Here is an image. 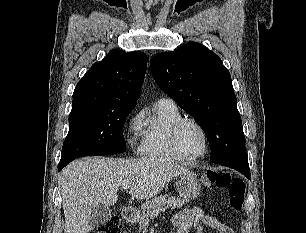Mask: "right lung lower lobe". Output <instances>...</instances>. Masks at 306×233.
Returning a JSON list of instances; mask_svg holds the SVG:
<instances>
[{"label":"right lung lower lobe","mask_w":306,"mask_h":233,"mask_svg":"<svg viewBox=\"0 0 306 233\" xmlns=\"http://www.w3.org/2000/svg\"><path fill=\"white\" fill-rule=\"evenodd\" d=\"M68 163H59V171L66 166Z\"/></svg>","instance_id":"obj_1"}]
</instances>
